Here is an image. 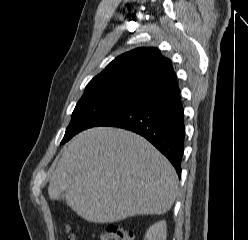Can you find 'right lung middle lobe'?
I'll return each mask as SVG.
<instances>
[{"mask_svg": "<svg viewBox=\"0 0 248 240\" xmlns=\"http://www.w3.org/2000/svg\"><path fill=\"white\" fill-rule=\"evenodd\" d=\"M137 100L139 99L136 97L108 89L85 90L72 113L71 122L61 144L70 140L78 132L93 127L104 117Z\"/></svg>", "mask_w": 248, "mask_h": 240, "instance_id": "1", "label": "right lung middle lobe"}]
</instances>
